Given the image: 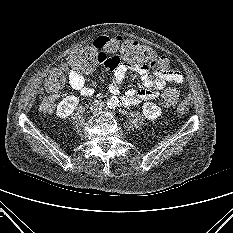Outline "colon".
Wrapping results in <instances>:
<instances>
[{
  "label": "colon",
  "instance_id": "5ec220e1",
  "mask_svg": "<svg viewBox=\"0 0 233 233\" xmlns=\"http://www.w3.org/2000/svg\"><path fill=\"white\" fill-rule=\"evenodd\" d=\"M118 55L129 64L146 65L161 69L168 68L169 62L165 56L156 54L149 46L142 45L134 40L103 37L98 44L82 47L70 56L67 64L54 68L49 73L45 88L49 92L60 90L66 81L69 68L91 71L95 66L106 60L109 56ZM179 99L176 88H167L162 93V105L166 108L173 107ZM56 97L49 95L41 101V109L51 113L54 109Z\"/></svg>",
  "mask_w": 233,
  "mask_h": 233
}]
</instances>
